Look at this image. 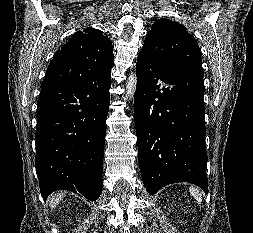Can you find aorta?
I'll use <instances>...</instances> for the list:
<instances>
[{"label":"aorta","mask_w":253,"mask_h":233,"mask_svg":"<svg viewBox=\"0 0 253 233\" xmlns=\"http://www.w3.org/2000/svg\"><path fill=\"white\" fill-rule=\"evenodd\" d=\"M137 85L136 75H131L127 81L126 90L128 96H133Z\"/></svg>","instance_id":"762f6f07"}]
</instances>
